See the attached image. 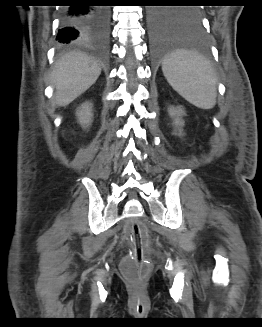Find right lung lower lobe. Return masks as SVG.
Listing matches in <instances>:
<instances>
[{
	"mask_svg": "<svg viewBox=\"0 0 262 327\" xmlns=\"http://www.w3.org/2000/svg\"><path fill=\"white\" fill-rule=\"evenodd\" d=\"M75 1L78 3V0ZM79 3L83 4L65 6L62 9V27L58 31L57 40L62 45L87 44L97 48L107 47L110 34L109 11L101 7L87 6L92 3L90 0H79Z\"/></svg>",
	"mask_w": 262,
	"mask_h": 327,
	"instance_id": "1",
	"label": "right lung lower lobe"
}]
</instances>
